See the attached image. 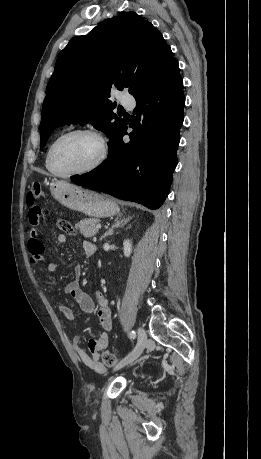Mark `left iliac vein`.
I'll use <instances>...</instances> for the list:
<instances>
[{
	"label": "left iliac vein",
	"mask_w": 261,
	"mask_h": 459,
	"mask_svg": "<svg viewBox=\"0 0 261 459\" xmlns=\"http://www.w3.org/2000/svg\"><path fill=\"white\" fill-rule=\"evenodd\" d=\"M137 335H138V342L134 350L126 356L124 359H122L115 367L114 371L119 370L123 368L124 366L134 362L143 352L147 345V335L145 330L142 327H139L137 330Z\"/></svg>",
	"instance_id": "left-iliac-vein-1"
}]
</instances>
